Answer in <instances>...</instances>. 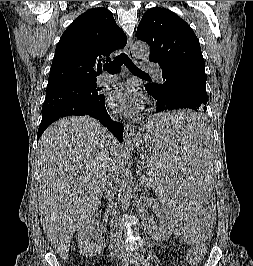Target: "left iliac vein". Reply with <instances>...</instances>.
Returning <instances> with one entry per match:
<instances>
[{
    "instance_id": "1",
    "label": "left iliac vein",
    "mask_w": 253,
    "mask_h": 266,
    "mask_svg": "<svg viewBox=\"0 0 253 266\" xmlns=\"http://www.w3.org/2000/svg\"><path fill=\"white\" fill-rule=\"evenodd\" d=\"M130 263L135 266H140V263L136 260V258L132 255H130Z\"/></svg>"
}]
</instances>
